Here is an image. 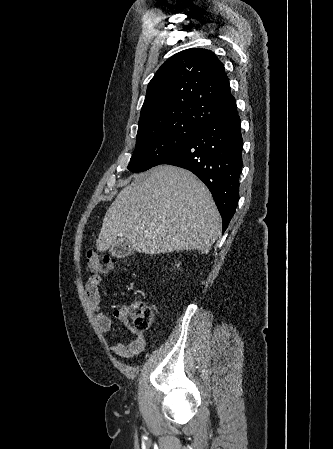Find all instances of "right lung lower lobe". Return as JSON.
<instances>
[{"label": "right lung lower lobe", "mask_w": 333, "mask_h": 449, "mask_svg": "<svg viewBox=\"0 0 333 449\" xmlns=\"http://www.w3.org/2000/svg\"><path fill=\"white\" fill-rule=\"evenodd\" d=\"M242 147L241 120L236 107L202 126L157 164L185 168L205 183L222 216L223 232L239 200Z\"/></svg>", "instance_id": "obj_1"}]
</instances>
